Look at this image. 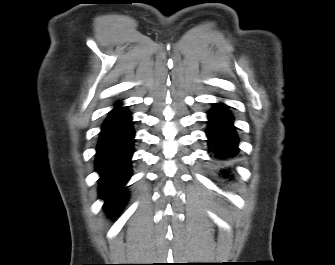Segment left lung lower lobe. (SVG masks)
<instances>
[{"instance_id":"0a47b994","label":"left lung lower lobe","mask_w":335,"mask_h":265,"mask_svg":"<svg viewBox=\"0 0 335 265\" xmlns=\"http://www.w3.org/2000/svg\"><path fill=\"white\" fill-rule=\"evenodd\" d=\"M207 137L216 157L221 160L234 157L238 153V138L233 126V118L226 105L215 104L208 113ZM222 172H225L223 169Z\"/></svg>"}]
</instances>
